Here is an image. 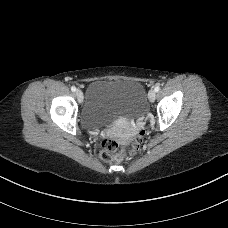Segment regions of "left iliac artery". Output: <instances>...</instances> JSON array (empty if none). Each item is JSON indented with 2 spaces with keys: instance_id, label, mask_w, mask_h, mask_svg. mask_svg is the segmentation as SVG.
<instances>
[{
  "instance_id": "left-iliac-artery-1",
  "label": "left iliac artery",
  "mask_w": 228,
  "mask_h": 228,
  "mask_svg": "<svg viewBox=\"0 0 228 228\" xmlns=\"http://www.w3.org/2000/svg\"><path fill=\"white\" fill-rule=\"evenodd\" d=\"M160 90V87L158 86V85H156L155 87H154V91L155 92H158Z\"/></svg>"
}]
</instances>
